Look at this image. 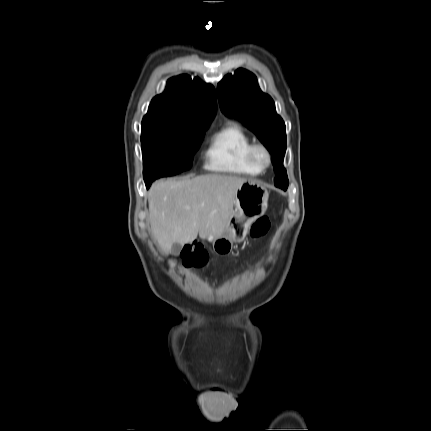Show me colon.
<instances>
[{
    "instance_id": "5ec220e1",
    "label": "colon",
    "mask_w": 431,
    "mask_h": 431,
    "mask_svg": "<svg viewBox=\"0 0 431 431\" xmlns=\"http://www.w3.org/2000/svg\"><path fill=\"white\" fill-rule=\"evenodd\" d=\"M269 229L267 217L259 218L251 227L250 234L253 238L264 235ZM183 261L187 266H201L207 260L206 252L198 245L188 247L182 253Z\"/></svg>"
}]
</instances>
